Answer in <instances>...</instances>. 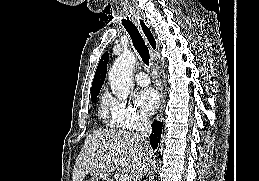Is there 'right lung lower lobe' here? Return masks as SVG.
Instances as JSON below:
<instances>
[{"label":"right lung lower lobe","mask_w":259,"mask_h":181,"mask_svg":"<svg viewBox=\"0 0 259 181\" xmlns=\"http://www.w3.org/2000/svg\"><path fill=\"white\" fill-rule=\"evenodd\" d=\"M162 133V123L158 121H154L152 125V134L150 136V143L154 149L157 148L158 143L161 138Z\"/></svg>","instance_id":"obj_1"}]
</instances>
